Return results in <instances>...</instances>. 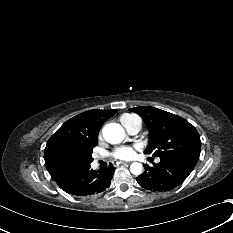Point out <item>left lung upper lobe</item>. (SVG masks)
<instances>
[{
	"label": "left lung upper lobe",
	"instance_id": "obj_1",
	"mask_svg": "<svg viewBox=\"0 0 233 233\" xmlns=\"http://www.w3.org/2000/svg\"><path fill=\"white\" fill-rule=\"evenodd\" d=\"M129 110L142 117L150 132L146 154L170 157L195 167L200 156L201 141L192 124L180 116L154 107L140 106Z\"/></svg>",
	"mask_w": 233,
	"mask_h": 233
}]
</instances>
